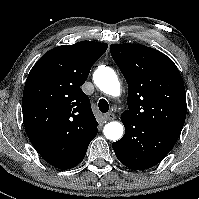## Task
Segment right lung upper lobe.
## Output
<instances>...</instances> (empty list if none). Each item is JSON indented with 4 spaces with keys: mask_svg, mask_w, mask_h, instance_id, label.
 Instances as JSON below:
<instances>
[{
    "mask_svg": "<svg viewBox=\"0 0 199 199\" xmlns=\"http://www.w3.org/2000/svg\"><path fill=\"white\" fill-rule=\"evenodd\" d=\"M107 47L94 41L58 46L27 77L22 99L26 134L37 152L59 169L70 168L98 132L90 99L80 86Z\"/></svg>",
    "mask_w": 199,
    "mask_h": 199,
    "instance_id": "obj_1",
    "label": "right lung upper lobe"
}]
</instances>
